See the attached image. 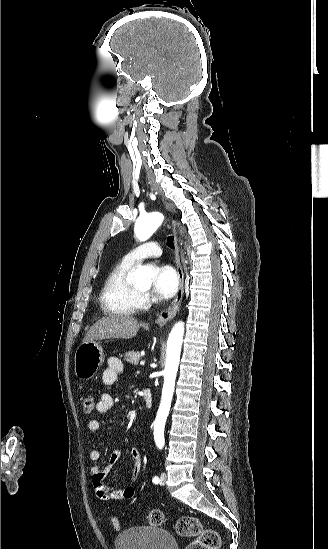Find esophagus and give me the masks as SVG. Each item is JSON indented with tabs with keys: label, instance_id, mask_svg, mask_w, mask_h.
<instances>
[{
	"label": "esophagus",
	"instance_id": "esophagus-1",
	"mask_svg": "<svg viewBox=\"0 0 328 549\" xmlns=\"http://www.w3.org/2000/svg\"><path fill=\"white\" fill-rule=\"evenodd\" d=\"M173 232H174V236H175L174 246H175V258H176V264H177L179 287H178V291H177V294L175 296V299L173 300L170 307H168V309H166V310H163L158 315V317L156 319V324H158L159 327H163L169 320H171L175 317V315L177 314V312L180 308L182 298H183V292H184V286H183V284H184V275H183V270H182L180 255H179V247H178V242H177V232H176L175 227L173 229Z\"/></svg>",
	"mask_w": 328,
	"mask_h": 549
}]
</instances>
